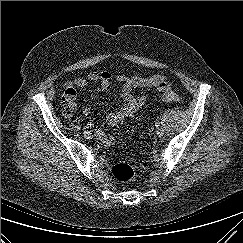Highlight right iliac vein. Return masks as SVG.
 I'll return each mask as SVG.
<instances>
[{"label":"right iliac vein","mask_w":243,"mask_h":243,"mask_svg":"<svg viewBox=\"0 0 243 243\" xmlns=\"http://www.w3.org/2000/svg\"><path fill=\"white\" fill-rule=\"evenodd\" d=\"M83 134H84V137H85L86 139H91V138H92V134H91V132L88 131V130H85V131L83 132Z\"/></svg>","instance_id":"63e3f726"}]
</instances>
